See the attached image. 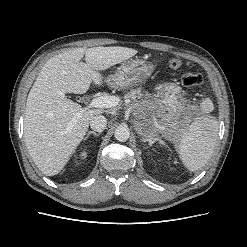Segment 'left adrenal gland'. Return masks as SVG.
I'll return each mask as SVG.
<instances>
[{
  "label": "left adrenal gland",
  "mask_w": 247,
  "mask_h": 247,
  "mask_svg": "<svg viewBox=\"0 0 247 247\" xmlns=\"http://www.w3.org/2000/svg\"><path fill=\"white\" fill-rule=\"evenodd\" d=\"M144 142L148 141L149 145L152 146L155 142H159L160 144L164 145V141H162L160 139V137H152V138H148V139H143Z\"/></svg>",
  "instance_id": "1"
}]
</instances>
